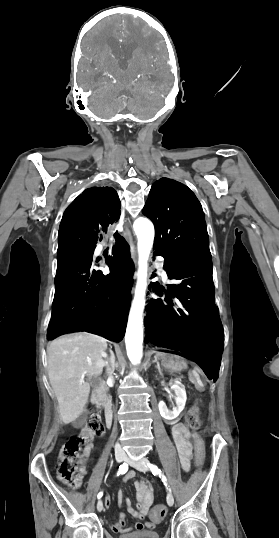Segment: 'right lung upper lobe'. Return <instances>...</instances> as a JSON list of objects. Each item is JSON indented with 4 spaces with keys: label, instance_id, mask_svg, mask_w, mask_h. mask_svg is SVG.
Wrapping results in <instances>:
<instances>
[{
    "label": "right lung upper lobe",
    "instance_id": "right-lung-upper-lobe-1",
    "mask_svg": "<svg viewBox=\"0 0 279 538\" xmlns=\"http://www.w3.org/2000/svg\"><path fill=\"white\" fill-rule=\"evenodd\" d=\"M98 333L103 334V335H106L105 333H101V332H98Z\"/></svg>",
    "mask_w": 279,
    "mask_h": 538
}]
</instances>
